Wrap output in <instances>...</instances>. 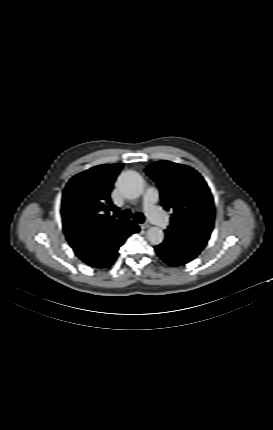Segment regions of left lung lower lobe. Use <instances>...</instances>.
Masks as SVG:
<instances>
[{
    "label": "left lung lower lobe",
    "instance_id": "obj_1",
    "mask_svg": "<svg viewBox=\"0 0 273 430\" xmlns=\"http://www.w3.org/2000/svg\"><path fill=\"white\" fill-rule=\"evenodd\" d=\"M155 250L160 258L170 266H180L193 260L178 252L170 235H166L164 242L157 245Z\"/></svg>",
    "mask_w": 273,
    "mask_h": 430
}]
</instances>
